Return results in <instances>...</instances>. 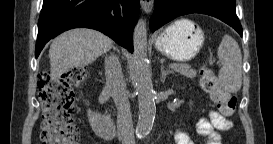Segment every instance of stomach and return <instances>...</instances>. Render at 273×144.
Masks as SVG:
<instances>
[{
	"instance_id": "0dacf381",
	"label": "stomach",
	"mask_w": 273,
	"mask_h": 144,
	"mask_svg": "<svg viewBox=\"0 0 273 144\" xmlns=\"http://www.w3.org/2000/svg\"><path fill=\"white\" fill-rule=\"evenodd\" d=\"M204 41V32L200 27L188 19H180L158 35L155 47L169 59L186 62L199 53Z\"/></svg>"
}]
</instances>
